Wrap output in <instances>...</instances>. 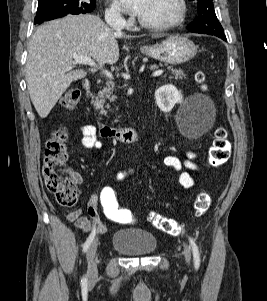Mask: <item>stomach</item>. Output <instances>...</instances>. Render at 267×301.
Listing matches in <instances>:
<instances>
[{"label":"stomach","mask_w":267,"mask_h":301,"mask_svg":"<svg viewBox=\"0 0 267 301\" xmlns=\"http://www.w3.org/2000/svg\"><path fill=\"white\" fill-rule=\"evenodd\" d=\"M144 55L169 64H181L191 60L198 47L188 38L182 36L168 37L160 44L140 48Z\"/></svg>","instance_id":"1"}]
</instances>
